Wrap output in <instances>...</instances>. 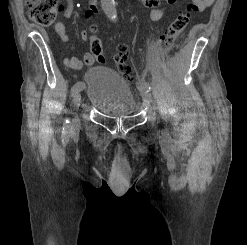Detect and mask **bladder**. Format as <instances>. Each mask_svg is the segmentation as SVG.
I'll return each instance as SVG.
<instances>
[{"label":"bladder","mask_w":247,"mask_h":245,"mask_svg":"<svg viewBox=\"0 0 247 245\" xmlns=\"http://www.w3.org/2000/svg\"><path fill=\"white\" fill-rule=\"evenodd\" d=\"M88 100L99 112L109 116H128L137 109L134 92L116 71L94 66L86 72Z\"/></svg>","instance_id":"1"}]
</instances>
